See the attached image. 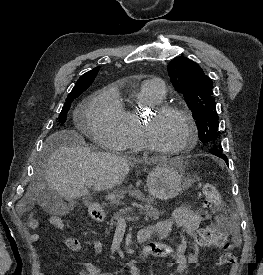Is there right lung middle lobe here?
I'll list each match as a JSON object with an SVG mask.
<instances>
[{
    "label": "right lung middle lobe",
    "mask_w": 263,
    "mask_h": 275,
    "mask_svg": "<svg viewBox=\"0 0 263 275\" xmlns=\"http://www.w3.org/2000/svg\"><path fill=\"white\" fill-rule=\"evenodd\" d=\"M87 88H84L82 90H79L77 92H75L74 94L68 95L66 102L62 108V111L59 115V122L64 123L66 121L67 118V112L70 109L71 103L72 101L77 98L82 92H84Z\"/></svg>",
    "instance_id": "dd1d6c3e"
}]
</instances>
